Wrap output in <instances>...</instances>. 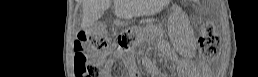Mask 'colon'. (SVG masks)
Wrapping results in <instances>:
<instances>
[{
    "instance_id": "obj_1",
    "label": "colon",
    "mask_w": 258,
    "mask_h": 77,
    "mask_svg": "<svg viewBox=\"0 0 258 77\" xmlns=\"http://www.w3.org/2000/svg\"><path fill=\"white\" fill-rule=\"evenodd\" d=\"M133 34L124 31L117 37V44L122 48H127L132 44ZM108 38L106 35V27L103 23L97 22L87 28L79 31L76 39V63L75 70L79 77L88 76L95 72L90 65L85 54L86 50H102L107 48ZM199 50L203 58L213 60L219 56L220 37L210 24H206L199 38Z\"/></svg>"
}]
</instances>
